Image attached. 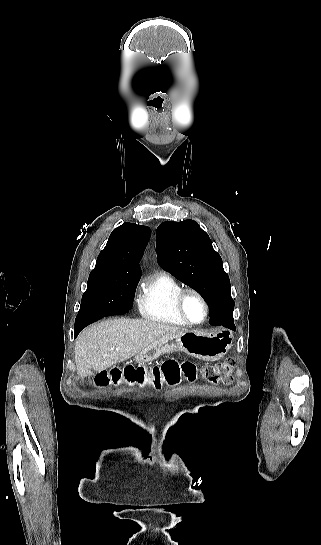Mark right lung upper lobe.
<instances>
[{
  "label": "right lung upper lobe",
  "instance_id": "1",
  "mask_svg": "<svg viewBox=\"0 0 321 545\" xmlns=\"http://www.w3.org/2000/svg\"><path fill=\"white\" fill-rule=\"evenodd\" d=\"M150 235V228L134 223L127 222L117 227L110 234L92 272L139 280L141 268L138 264Z\"/></svg>",
  "mask_w": 321,
  "mask_h": 545
}]
</instances>
